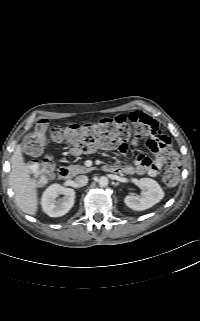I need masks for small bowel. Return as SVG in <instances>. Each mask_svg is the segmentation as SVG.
<instances>
[{
    "instance_id": "1",
    "label": "small bowel",
    "mask_w": 200,
    "mask_h": 321,
    "mask_svg": "<svg viewBox=\"0 0 200 321\" xmlns=\"http://www.w3.org/2000/svg\"><path fill=\"white\" fill-rule=\"evenodd\" d=\"M130 121L146 123L150 129V136L146 141L148 149L153 156L140 154L136 157L134 165L118 166L117 172L127 175H149L155 177L165 163V153L170 146V139L163 134L154 119L140 112H130L122 115Z\"/></svg>"
}]
</instances>
